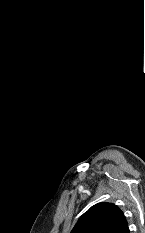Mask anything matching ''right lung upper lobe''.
<instances>
[{
    "label": "right lung upper lobe",
    "mask_w": 145,
    "mask_h": 233,
    "mask_svg": "<svg viewBox=\"0 0 145 233\" xmlns=\"http://www.w3.org/2000/svg\"><path fill=\"white\" fill-rule=\"evenodd\" d=\"M71 233H130L126 218L118 206L98 203L85 212Z\"/></svg>",
    "instance_id": "cb5924a9"
}]
</instances>
